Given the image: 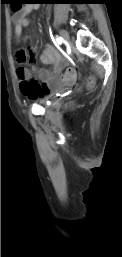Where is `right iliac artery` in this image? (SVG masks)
<instances>
[{
  "mask_svg": "<svg viewBox=\"0 0 122 257\" xmlns=\"http://www.w3.org/2000/svg\"><path fill=\"white\" fill-rule=\"evenodd\" d=\"M54 43L57 45V44H61L62 43V38L61 37H56L55 40H53Z\"/></svg>",
  "mask_w": 122,
  "mask_h": 257,
  "instance_id": "right-iliac-artery-1",
  "label": "right iliac artery"
}]
</instances>
